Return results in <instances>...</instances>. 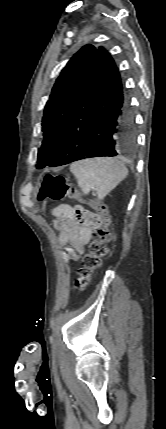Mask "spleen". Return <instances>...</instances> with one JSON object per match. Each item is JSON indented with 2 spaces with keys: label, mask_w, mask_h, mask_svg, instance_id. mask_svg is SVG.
<instances>
[{
  "label": "spleen",
  "mask_w": 166,
  "mask_h": 429,
  "mask_svg": "<svg viewBox=\"0 0 166 429\" xmlns=\"http://www.w3.org/2000/svg\"><path fill=\"white\" fill-rule=\"evenodd\" d=\"M79 188L84 194L92 189L103 200L128 175L124 163L113 158H91L74 162L70 166Z\"/></svg>",
  "instance_id": "3e777b00"
}]
</instances>
